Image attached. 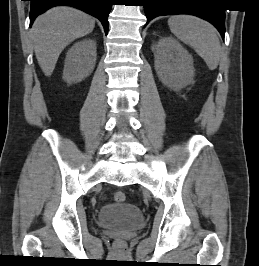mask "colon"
Wrapping results in <instances>:
<instances>
[{
    "mask_svg": "<svg viewBox=\"0 0 259 266\" xmlns=\"http://www.w3.org/2000/svg\"><path fill=\"white\" fill-rule=\"evenodd\" d=\"M125 198H126L125 193L122 192V191H117L114 194V201L116 203H122V202H124L125 201ZM116 246H117L118 249H123L124 248V243L119 240V241L116 242Z\"/></svg>",
    "mask_w": 259,
    "mask_h": 266,
    "instance_id": "colon-1",
    "label": "colon"
}]
</instances>
